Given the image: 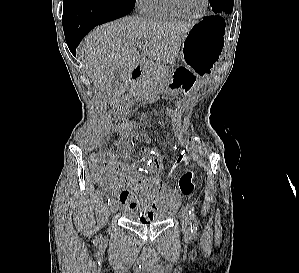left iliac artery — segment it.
Masks as SVG:
<instances>
[{"mask_svg": "<svg viewBox=\"0 0 299 273\" xmlns=\"http://www.w3.org/2000/svg\"><path fill=\"white\" fill-rule=\"evenodd\" d=\"M186 208L188 210L189 217H190L191 232L193 234H195L197 232V220H196V216H195V213H194V208L190 204H188Z\"/></svg>", "mask_w": 299, "mask_h": 273, "instance_id": "obj_1", "label": "left iliac artery"}]
</instances>
